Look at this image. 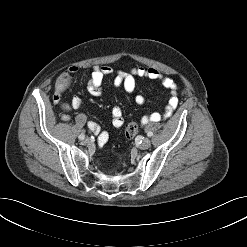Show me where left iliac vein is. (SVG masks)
Returning a JSON list of instances; mask_svg holds the SVG:
<instances>
[{
	"label": "left iliac vein",
	"instance_id": "obj_1",
	"mask_svg": "<svg viewBox=\"0 0 247 247\" xmlns=\"http://www.w3.org/2000/svg\"><path fill=\"white\" fill-rule=\"evenodd\" d=\"M151 146V141L148 138L143 139L139 147L143 150L148 149Z\"/></svg>",
	"mask_w": 247,
	"mask_h": 247
}]
</instances>
